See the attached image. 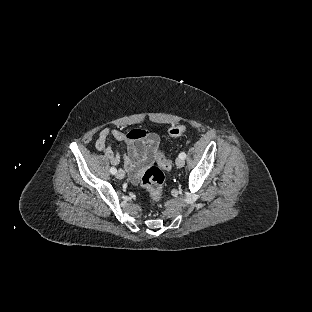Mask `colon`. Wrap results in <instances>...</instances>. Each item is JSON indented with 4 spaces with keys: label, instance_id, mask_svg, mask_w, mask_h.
<instances>
[{
    "label": "colon",
    "instance_id": "1",
    "mask_svg": "<svg viewBox=\"0 0 312 312\" xmlns=\"http://www.w3.org/2000/svg\"><path fill=\"white\" fill-rule=\"evenodd\" d=\"M184 132L182 127H173L170 130V134L174 137H180ZM148 131H144L142 133L143 136H146ZM157 164L167 171L171 170L172 163L171 161L165 157L164 155H160L157 158ZM164 174L155 169L154 167L149 168L141 178L142 186L147 190L152 199L156 201L162 200V188L164 184Z\"/></svg>",
    "mask_w": 312,
    "mask_h": 312
}]
</instances>
